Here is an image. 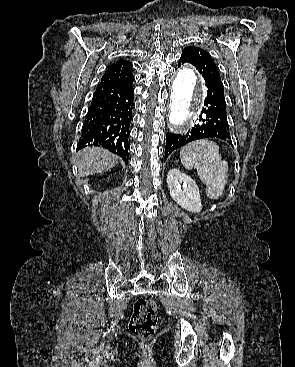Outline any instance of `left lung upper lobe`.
Masks as SVG:
<instances>
[{"instance_id": "5c2ea615", "label": "left lung upper lobe", "mask_w": 295, "mask_h": 367, "mask_svg": "<svg viewBox=\"0 0 295 367\" xmlns=\"http://www.w3.org/2000/svg\"><path fill=\"white\" fill-rule=\"evenodd\" d=\"M180 60L191 63L201 74H212L220 77L217 65L208 52L195 47L187 46L183 49Z\"/></svg>"}]
</instances>
